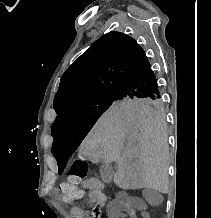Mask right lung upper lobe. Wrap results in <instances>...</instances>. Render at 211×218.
<instances>
[{
	"instance_id": "right-lung-upper-lobe-1",
	"label": "right lung upper lobe",
	"mask_w": 211,
	"mask_h": 218,
	"mask_svg": "<svg viewBox=\"0 0 211 218\" xmlns=\"http://www.w3.org/2000/svg\"><path fill=\"white\" fill-rule=\"evenodd\" d=\"M145 61V52L133 38L120 32L103 35L61 77L53 102L57 117L86 100L117 93Z\"/></svg>"
}]
</instances>
